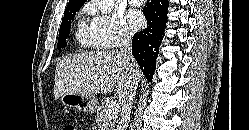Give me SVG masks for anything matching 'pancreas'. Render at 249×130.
Segmentation results:
<instances>
[{
	"label": "pancreas",
	"mask_w": 249,
	"mask_h": 130,
	"mask_svg": "<svg viewBox=\"0 0 249 130\" xmlns=\"http://www.w3.org/2000/svg\"><path fill=\"white\" fill-rule=\"evenodd\" d=\"M109 105H103L97 108V125L99 130H114L116 123V115H106V110Z\"/></svg>",
	"instance_id": "obj_1"
}]
</instances>
